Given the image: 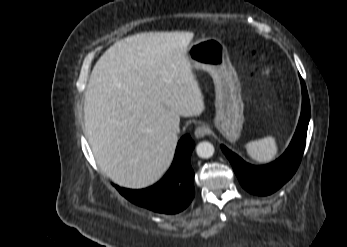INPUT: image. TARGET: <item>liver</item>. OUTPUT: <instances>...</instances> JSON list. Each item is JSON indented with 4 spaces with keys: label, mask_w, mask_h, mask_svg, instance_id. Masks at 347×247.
<instances>
[{
    "label": "liver",
    "mask_w": 347,
    "mask_h": 247,
    "mask_svg": "<svg viewBox=\"0 0 347 247\" xmlns=\"http://www.w3.org/2000/svg\"><path fill=\"white\" fill-rule=\"evenodd\" d=\"M193 32L126 37L96 62L87 85L84 125L93 155L114 183L154 184L170 166L180 116L199 115L204 97L186 59Z\"/></svg>",
    "instance_id": "obj_1"
}]
</instances>
